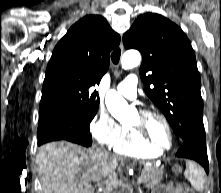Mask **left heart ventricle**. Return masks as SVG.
Wrapping results in <instances>:
<instances>
[{
  "label": "left heart ventricle",
  "mask_w": 221,
  "mask_h": 193,
  "mask_svg": "<svg viewBox=\"0 0 221 193\" xmlns=\"http://www.w3.org/2000/svg\"><path fill=\"white\" fill-rule=\"evenodd\" d=\"M140 120L137 114L132 121V124L138 123ZM145 127L150 138L159 146L167 148L170 143L168 131L160 119L156 117H148L145 122Z\"/></svg>",
  "instance_id": "b2bd125f"
}]
</instances>
